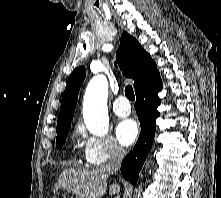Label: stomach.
Listing matches in <instances>:
<instances>
[{"label":"stomach","mask_w":221,"mask_h":198,"mask_svg":"<svg viewBox=\"0 0 221 198\" xmlns=\"http://www.w3.org/2000/svg\"><path fill=\"white\" fill-rule=\"evenodd\" d=\"M71 198H80V197H78V196L74 195V196H72Z\"/></svg>","instance_id":"stomach-1"}]
</instances>
